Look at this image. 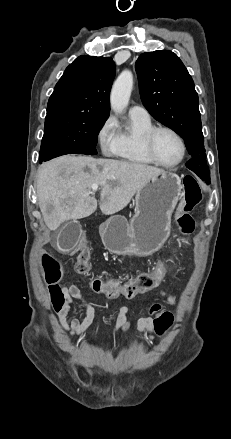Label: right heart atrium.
Segmentation results:
<instances>
[{
	"label": "right heart atrium",
	"mask_w": 231,
	"mask_h": 439,
	"mask_svg": "<svg viewBox=\"0 0 231 439\" xmlns=\"http://www.w3.org/2000/svg\"><path fill=\"white\" fill-rule=\"evenodd\" d=\"M97 140L103 154L113 155L118 144L117 122L113 116H108L97 131Z\"/></svg>",
	"instance_id": "obj_1"
}]
</instances>
